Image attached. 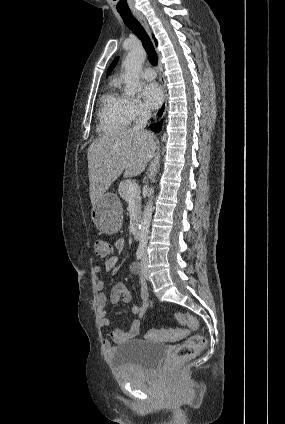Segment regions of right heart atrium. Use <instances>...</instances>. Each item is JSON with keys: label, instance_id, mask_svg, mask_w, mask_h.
I'll list each match as a JSON object with an SVG mask.
<instances>
[{"label": "right heart atrium", "instance_id": "right-heart-atrium-1", "mask_svg": "<svg viewBox=\"0 0 285 424\" xmlns=\"http://www.w3.org/2000/svg\"><path fill=\"white\" fill-rule=\"evenodd\" d=\"M147 108L138 99L128 98L127 100V116L128 120L134 121L147 114Z\"/></svg>", "mask_w": 285, "mask_h": 424}]
</instances>
